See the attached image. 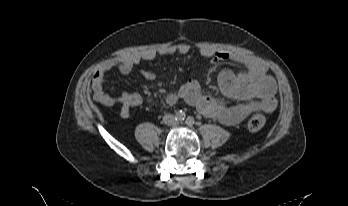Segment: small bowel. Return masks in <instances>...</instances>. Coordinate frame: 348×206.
<instances>
[{"instance_id":"obj_1","label":"small bowel","mask_w":348,"mask_h":206,"mask_svg":"<svg viewBox=\"0 0 348 206\" xmlns=\"http://www.w3.org/2000/svg\"><path fill=\"white\" fill-rule=\"evenodd\" d=\"M189 51L190 46L188 44H181L159 51L145 50L136 52L106 62L100 67L94 77L92 85L93 97L97 102L105 106L120 104V116L123 119H128L131 109L142 104V96L128 91H123L117 97L111 96L106 92L104 79L101 76L111 69H117L121 73H129L137 64L151 61L158 55H172L175 53L184 55ZM199 53L202 57L209 58L214 63L229 59L245 67L244 71L239 72L225 70L218 79L222 93L229 98L239 100L240 103L230 106L221 98L203 94L200 84L195 80H190L177 91L168 93L166 100L169 103H176L179 99H185L204 116L216 119L227 126L237 125L254 113H271L276 110L278 106L276 82L267 74L266 66L263 63L244 54H230L206 47L201 48ZM142 75L148 81L155 79V74L149 70H142Z\"/></svg>"}]
</instances>
